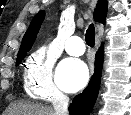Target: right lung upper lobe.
<instances>
[{
	"mask_svg": "<svg viewBox=\"0 0 131 115\" xmlns=\"http://www.w3.org/2000/svg\"><path fill=\"white\" fill-rule=\"evenodd\" d=\"M106 13H107V0H98L97 6L93 14L94 20L100 23H104ZM44 17H45L44 11H40L33 18L28 30L26 31L23 37L22 44L17 57L30 50L32 44L36 39L37 33L40 29L42 21L44 20Z\"/></svg>",
	"mask_w": 131,
	"mask_h": 115,
	"instance_id": "cb5924a9",
	"label": "right lung upper lobe"
}]
</instances>
